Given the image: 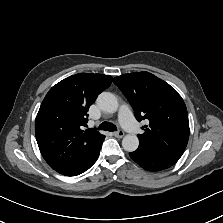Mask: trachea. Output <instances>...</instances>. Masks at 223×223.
Masks as SVG:
<instances>
[{
  "label": "trachea",
  "instance_id": "1",
  "mask_svg": "<svg viewBox=\"0 0 223 223\" xmlns=\"http://www.w3.org/2000/svg\"><path fill=\"white\" fill-rule=\"evenodd\" d=\"M99 129L100 130H105V131H116L117 130V127L112 124V123H109V122H103L100 126H99Z\"/></svg>",
  "mask_w": 223,
  "mask_h": 223
}]
</instances>
